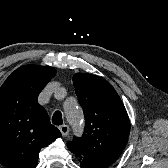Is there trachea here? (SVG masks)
Segmentation results:
<instances>
[{"label":"trachea","mask_w":168,"mask_h":168,"mask_svg":"<svg viewBox=\"0 0 168 168\" xmlns=\"http://www.w3.org/2000/svg\"><path fill=\"white\" fill-rule=\"evenodd\" d=\"M52 123H53L54 125H62V124H63L62 114H61L60 111H56V112L53 114Z\"/></svg>","instance_id":"obj_1"}]
</instances>
